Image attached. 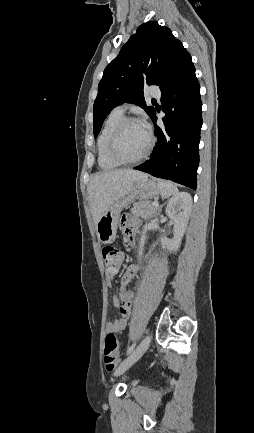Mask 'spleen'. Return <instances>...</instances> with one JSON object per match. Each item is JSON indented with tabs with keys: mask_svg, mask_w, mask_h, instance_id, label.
<instances>
[{
	"mask_svg": "<svg viewBox=\"0 0 254 433\" xmlns=\"http://www.w3.org/2000/svg\"><path fill=\"white\" fill-rule=\"evenodd\" d=\"M157 185L159 187L161 196L164 198H168L178 193L177 187L170 181L158 180Z\"/></svg>",
	"mask_w": 254,
	"mask_h": 433,
	"instance_id": "3e777b00",
	"label": "spleen"
}]
</instances>
